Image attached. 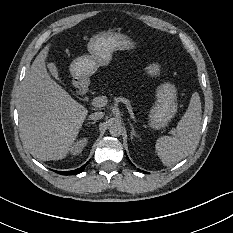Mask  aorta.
Returning <instances> with one entry per match:
<instances>
[{"label":"aorta","mask_w":233,"mask_h":233,"mask_svg":"<svg viewBox=\"0 0 233 233\" xmlns=\"http://www.w3.org/2000/svg\"><path fill=\"white\" fill-rule=\"evenodd\" d=\"M110 134L113 136H119L122 133V126L120 123H113L109 128Z\"/></svg>","instance_id":"aorta-1"}]
</instances>
